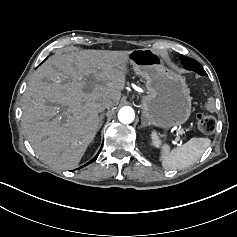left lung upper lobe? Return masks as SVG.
Returning <instances> with one entry per match:
<instances>
[{
  "label": "left lung upper lobe",
  "mask_w": 237,
  "mask_h": 237,
  "mask_svg": "<svg viewBox=\"0 0 237 237\" xmlns=\"http://www.w3.org/2000/svg\"><path fill=\"white\" fill-rule=\"evenodd\" d=\"M182 64L185 66L187 70H192L199 75L208 76L207 73L204 71L203 67L200 63L196 60L188 58V57H181Z\"/></svg>",
  "instance_id": "5c2ea615"
}]
</instances>
